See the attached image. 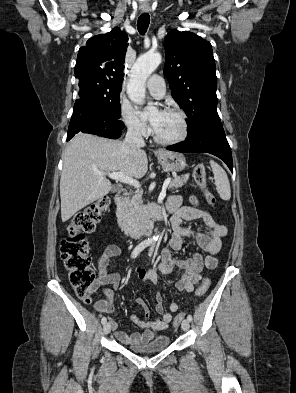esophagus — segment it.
Here are the masks:
<instances>
[{"label":"esophagus","mask_w":296,"mask_h":393,"mask_svg":"<svg viewBox=\"0 0 296 393\" xmlns=\"http://www.w3.org/2000/svg\"><path fill=\"white\" fill-rule=\"evenodd\" d=\"M143 13L147 12L146 10H142Z\"/></svg>","instance_id":"1"}]
</instances>
